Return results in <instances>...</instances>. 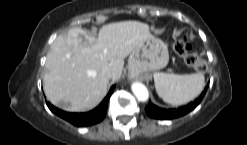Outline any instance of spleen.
I'll return each instance as SVG.
<instances>
[{
  "label": "spleen",
  "instance_id": "spleen-1",
  "mask_svg": "<svg viewBox=\"0 0 247 145\" xmlns=\"http://www.w3.org/2000/svg\"><path fill=\"white\" fill-rule=\"evenodd\" d=\"M153 77L158 96L174 106L192 101L205 86V78L201 73L178 75L158 72Z\"/></svg>",
  "mask_w": 247,
  "mask_h": 145
}]
</instances>
